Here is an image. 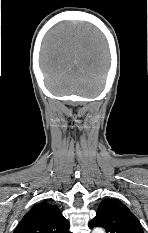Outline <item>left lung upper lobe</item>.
Instances as JSON below:
<instances>
[{
  "mask_svg": "<svg viewBox=\"0 0 148 233\" xmlns=\"http://www.w3.org/2000/svg\"><path fill=\"white\" fill-rule=\"evenodd\" d=\"M103 227L106 233H144L139 220L120 201L104 199L89 228Z\"/></svg>",
  "mask_w": 148,
  "mask_h": 233,
  "instance_id": "obj_1",
  "label": "left lung upper lobe"
}]
</instances>
